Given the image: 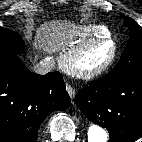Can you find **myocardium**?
Wrapping results in <instances>:
<instances>
[{
    "label": "myocardium",
    "instance_id": "obj_1",
    "mask_svg": "<svg viewBox=\"0 0 142 142\" xmlns=\"http://www.w3.org/2000/svg\"><path fill=\"white\" fill-rule=\"evenodd\" d=\"M100 43H109L111 45V52L108 58L101 64L92 67V68H85L80 65V60L82 57L94 46ZM117 43L116 41L110 36H96L90 38L79 46L71 50L65 57L63 61V66L66 71L77 76L82 79H91L103 74L107 71L117 56Z\"/></svg>",
    "mask_w": 142,
    "mask_h": 142
}]
</instances>
